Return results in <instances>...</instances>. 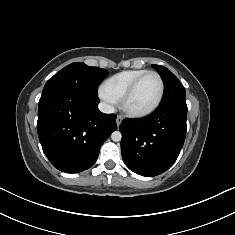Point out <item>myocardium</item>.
Wrapping results in <instances>:
<instances>
[{"label": "myocardium", "mask_w": 235, "mask_h": 235, "mask_svg": "<svg viewBox=\"0 0 235 235\" xmlns=\"http://www.w3.org/2000/svg\"><path fill=\"white\" fill-rule=\"evenodd\" d=\"M148 75H155L159 80L160 92H159L157 100L155 101V103L152 106H150L147 109H144V110L130 109L127 105L129 98L133 95V93L135 92L139 83ZM164 92H165V85H164V81H163L161 75L156 71H152V70L146 71L145 73H143L142 75L137 77L131 83V85L128 87V89L125 91V93L123 94V96L121 98V108L126 114H128L132 117H143V116L149 115L152 112H154L161 104L163 97H164Z\"/></svg>", "instance_id": "f54148a6"}]
</instances>
